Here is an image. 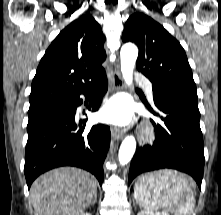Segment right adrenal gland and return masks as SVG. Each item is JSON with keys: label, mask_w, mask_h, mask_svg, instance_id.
Instances as JSON below:
<instances>
[{"label": "right adrenal gland", "mask_w": 221, "mask_h": 215, "mask_svg": "<svg viewBox=\"0 0 221 215\" xmlns=\"http://www.w3.org/2000/svg\"><path fill=\"white\" fill-rule=\"evenodd\" d=\"M96 202H97V193L94 194V199H93L92 204H95Z\"/></svg>", "instance_id": "right-adrenal-gland-1"}]
</instances>
